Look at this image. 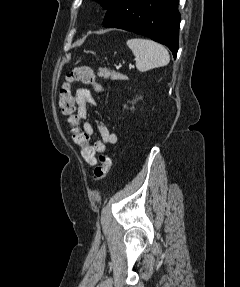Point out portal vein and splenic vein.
<instances>
[{
	"label": "portal vein and splenic vein",
	"mask_w": 240,
	"mask_h": 287,
	"mask_svg": "<svg viewBox=\"0 0 240 287\" xmlns=\"http://www.w3.org/2000/svg\"><path fill=\"white\" fill-rule=\"evenodd\" d=\"M129 69H134V65H129Z\"/></svg>",
	"instance_id": "18ae733b"
}]
</instances>
